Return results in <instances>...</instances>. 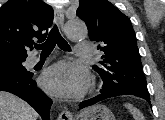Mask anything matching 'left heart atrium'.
I'll return each instance as SVG.
<instances>
[{"label":"left heart atrium","instance_id":"1","mask_svg":"<svg viewBox=\"0 0 165 120\" xmlns=\"http://www.w3.org/2000/svg\"><path fill=\"white\" fill-rule=\"evenodd\" d=\"M42 87L59 97H76L89 85L87 70L78 64L61 61L46 69L41 78Z\"/></svg>","mask_w":165,"mask_h":120}]
</instances>
